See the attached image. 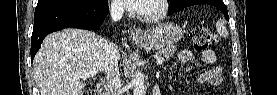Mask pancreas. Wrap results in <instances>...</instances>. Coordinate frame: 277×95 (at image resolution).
<instances>
[{"label": "pancreas", "instance_id": "pancreas-1", "mask_svg": "<svg viewBox=\"0 0 277 95\" xmlns=\"http://www.w3.org/2000/svg\"><path fill=\"white\" fill-rule=\"evenodd\" d=\"M176 51V48L175 47H166L162 50H160L157 55L160 57V58H170L174 52Z\"/></svg>", "mask_w": 277, "mask_h": 95}]
</instances>
